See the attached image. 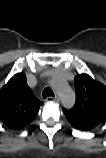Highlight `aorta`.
<instances>
[{"mask_svg": "<svg viewBox=\"0 0 106 158\" xmlns=\"http://www.w3.org/2000/svg\"><path fill=\"white\" fill-rule=\"evenodd\" d=\"M51 84L59 93L63 106L71 108L75 103V94L72 89L62 80L53 79Z\"/></svg>", "mask_w": 106, "mask_h": 158, "instance_id": "aorta-1", "label": "aorta"}]
</instances>
